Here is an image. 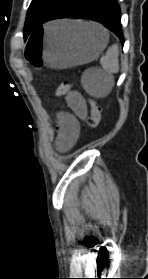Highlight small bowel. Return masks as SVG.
<instances>
[{"instance_id": "c3829d8e", "label": "small bowel", "mask_w": 148, "mask_h": 279, "mask_svg": "<svg viewBox=\"0 0 148 279\" xmlns=\"http://www.w3.org/2000/svg\"><path fill=\"white\" fill-rule=\"evenodd\" d=\"M67 100L73 113L62 112L58 115L57 146L61 151H67L75 145L80 132L79 119L86 115V106L79 94H69Z\"/></svg>"}]
</instances>
